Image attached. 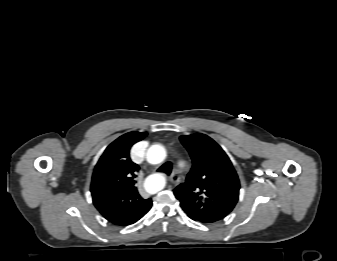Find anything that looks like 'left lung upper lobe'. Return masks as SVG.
Wrapping results in <instances>:
<instances>
[{
  "mask_svg": "<svg viewBox=\"0 0 337 261\" xmlns=\"http://www.w3.org/2000/svg\"><path fill=\"white\" fill-rule=\"evenodd\" d=\"M180 141L193 161L186 181L174 189L182 209L202 223L223 219L236 205L240 189L231 161L207 135H183Z\"/></svg>",
  "mask_w": 337,
  "mask_h": 261,
  "instance_id": "left-lung-upper-lobe-1",
  "label": "left lung upper lobe"
}]
</instances>
